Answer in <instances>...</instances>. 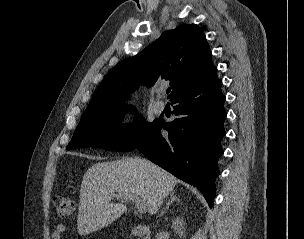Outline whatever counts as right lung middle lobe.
Segmentation results:
<instances>
[{
	"label": "right lung middle lobe",
	"instance_id": "right-lung-middle-lobe-1",
	"mask_svg": "<svg viewBox=\"0 0 304 239\" xmlns=\"http://www.w3.org/2000/svg\"><path fill=\"white\" fill-rule=\"evenodd\" d=\"M129 109L125 105L108 108L102 112L81 118L67 150L98 147L112 151H131L148 138L159 120L121 125V115Z\"/></svg>",
	"mask_w": 304,
	"mask_h": 239
}]
</instances>
